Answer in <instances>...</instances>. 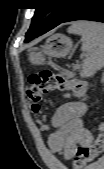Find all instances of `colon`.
I'll use <instances>...</instances> for the list:
<instances>
[{
    "label": "colon",
    "mask_w": 104,
    "mask_h": 169,
    "mask_svg": "<svg viewBox=\"0 0 104 169\" xmlns=\"http://www.w3.org/2000/svg\"><path fill=\"white\" fill-rule=\"evenodd\" d=\"M29 86L26 89L28 102L33 112L38 113L44 96L56 91L69 90L79 99H85L87 95V84L77 79H69L62 72H53L43 69L40 72L32 73L29 78ZM101 132L103 127H100ZM104 149L103 133L97 135L94 140L87 145L78 148L73 166L75 169H82L87 164L93 162Z\"/></svg>",
    "instance_id": "obj_1"
}]
</instances>
